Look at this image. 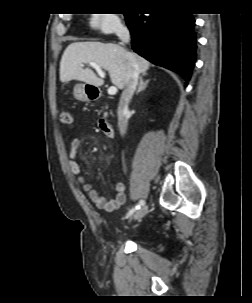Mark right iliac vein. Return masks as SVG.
<instances>
[{
	"mask_svg": "<svg viewBox=\"0 0 252 303\" xmlns=\"http://www.w3.org/2000/svg\"><path fill=\"white\" fill-rule=\"evenodd\" d=\"M148 212V207L146 205L142 206L135 214L134 219L138 220L143 218Z\"/></svg>",
	"mask_w": 252,
	"mask_h": 303,
	"instance_id": "right-iliac-vein-1",
	"label": "right iliac vein"
}]
</instances>
